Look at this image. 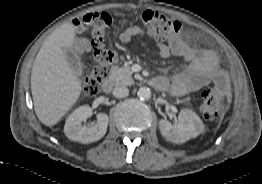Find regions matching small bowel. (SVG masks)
<instances>
[{
	"label": "small bowel",
	"instance_id": "obj_1",
	"mask_svg": "<svg viewBox=\"0 0 262 184\" xmlns=\"http://www.w3.org/2000/svg\"><path fill=\"white\" fill-rule=\"evenodd\" d=\"M76 31H82V23L78 19L72 22ZM145 35V31L139 26H132L124 29L119 39L127 43L138 36ZM78 51L90 49V42L81 38L76 43ZM158 53L162 58L178 56L186 62L185 68L175 75L172 80L164 76L155 78L158 81L160 90H169L174 96L184 97L203 87L211 84L215 76L222 71L219 67L216 53L209 49H196L188 45L181 37L171 38L166 43H157Z\"/></svg>",
	"mask_w": 262,
	"mask_h": 184
}]
</instances>
